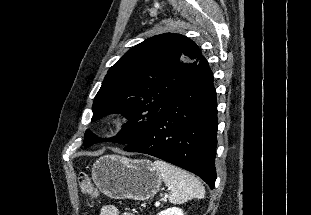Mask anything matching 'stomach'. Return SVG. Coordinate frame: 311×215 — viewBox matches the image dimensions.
<instances>
[{"label": "stomach", "mask_w": 311, "mask_h": 215, "mask_svg": "<svg viewBox=\"0 0 311 215\" xmlns=\"http://www.w3.org/2000/svg\"><path fill=\"white\" fill-rule=\"evenodd\" d=\"M92 178L106 196L137 201L152 198L162 183L151 161L133 160L119 155L99 158L94 164Z\"/></svg>", "instance_id": "stomach-1"}]
</instances>
